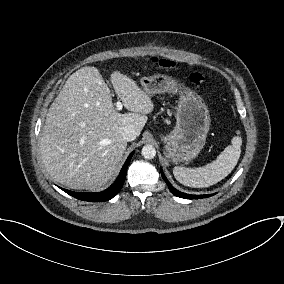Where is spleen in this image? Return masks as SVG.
Here are the masks:
<instances>
[{"label": "spleen", "instance_id": "3e777b00", "mask_svg": "<svg viewBox=\"0 0 284 284\" xmlns=\"http://www.w3.org/2000/svg\"><path fill=\"white\" fill-rule=\"evenodd\" d=\"M236 134L237 136L231 140V145L211 163L199 168L174 167L175 179L183 185L194 188L209 187L224 179L234 169L241 154L240 131H236Z\"/></svg>", "mask_w": 284, "mask_h": 284}]
</instances>
